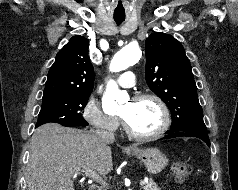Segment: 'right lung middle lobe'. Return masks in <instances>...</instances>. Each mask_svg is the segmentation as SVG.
<instances>
[{"label": "right lung middle lobe", "instance_id": "1", "mask_svg": "<svg viewBox=\"0 0 238 190\" xmlns=\"http://www.w3.org/2000/svg\"><path fill=\"white\" fill-rule=\"evenodd\" d=\"M90 95L69 94L42 98V106L36 127L53 122L64 126H86L81 111Z\"/></svg>", "mask_w": 238, "mask_h": 190}]
</instances>
